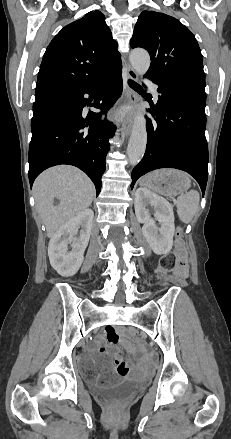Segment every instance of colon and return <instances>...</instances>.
Returning <instances> with one entry per match:
<instances>
[{
    "instance_id": "5ec220e1",
    "label": "colon",
    "mask_w": 231,
    "mask_h": 439,
    "mask_svg": "<svg viewBox=\"0 0 231 439\" xmlns=\"http://www.w3.org/2000/svg\"><path fill=\"white\" fill-rule=\"evenodd\" d=\"M176 247L174 252L169 253L162 257L159 267V275L164 276L167 272L175 271L179 275H185L186 272V252L183 247V230L178 228L175 236ZM127 333L131 337H135V331L128 329ZM128 372V367L123 363L116 369V373L120 376L125 375ZM111 378H104L102 382H110Z\"/></svg>"
}]
</instances>
